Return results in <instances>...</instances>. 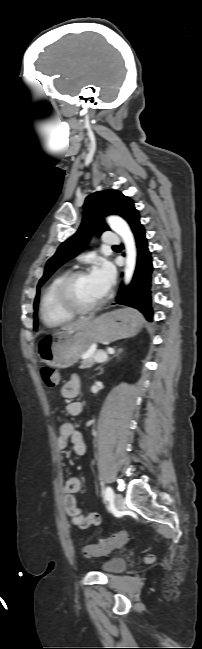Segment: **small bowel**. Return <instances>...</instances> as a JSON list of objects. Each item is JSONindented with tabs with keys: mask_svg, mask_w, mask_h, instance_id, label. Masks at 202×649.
Wrapping results in <instances>:
<instances>
[{
	"mask_svg": "<svg viewBox=\"0 0 202 649\" xmlns=\"http://www.w3.org/2000/svg\"><path fill=\"white\" fill-rule=\"evenodd\" d=\"M80 391V380L77 376H72L65 382L61 393L66 398H74ZM67 413L72 417H78L83 412V405L78 401H70L66 405ZM69 442L72 444L73 452L77 455H83L86 452V444L80 431L76 430L72 423L65 422L60 426L59 434L56 440V446L59 451L68 447ZM81 489V480L77 476L70 477L63 486L65 494L63 506L68 514L71 523L79 529H88L97 527L101 524L102 518L98 513L91 512L84 514L77 506L74 495Z\"/></svg>",
	"mask_w": 202,
	"mask_h": 649,
	"instance_id": "small-bowel-1",
	"label": "small bowel"
}]
</instances>
